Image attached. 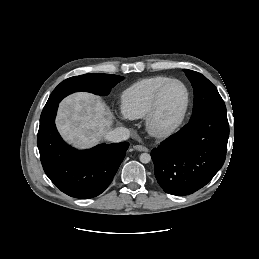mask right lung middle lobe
I'll return each mask as SVG.
<instances>
[{"label":"right lung middle lobe","instance_id":"dd1d6c3e","mask_svg":"<svg viewBox=\"0 0 259 259\" xmlns=\"http://www.w3.org/2000/svg\"><path fill=\"white\" fill-rule=\"evenodd\" d=\"M123 79V76L99 73L84 74L68 78L54 89L44 108L51 107L59 103L67 95L78 91L108 95L111 88Z\"/></svg>","mask_w":259,"mask_h":259}]
</instances>
